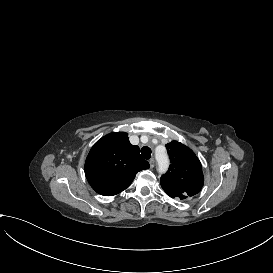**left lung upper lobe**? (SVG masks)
Here are the masks:
<instances>
[{"mask_svg":"<svg viewBox=\"0 0 273 273\" xmlns=\"http://www.w3.org/2000/svg\"><path fill=\"white\" fill-rule=\"evenodd\" d=\"M170 166L161 177L163 190L172 198L185 199L200 192L204 177L202 166L194 152L180 142L166 144Z\"/></svg>","mask_w":273,"mask_h":273,"instance_id":"left-lung-upper-lobe-1","label":"left lung upper lobe"}]
</instances>
